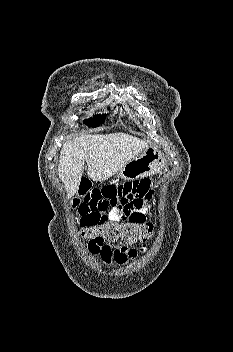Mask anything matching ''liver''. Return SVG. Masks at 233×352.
Wrapping results in <instances>:
<instances>
[{"label": "liver", "instance_id": "6515ba94", "mask_svg": "<svg viewBox=\"0 0 233 352\" xmlns=\"http://www.w3.org/2000/svg\"><path fill=\"white\" fill-rule=\"evenodd\" d=\"M149 148V144L126 133L80 135L64 143L58 165L67 197H73L80 185L87 163V174L93 181L108 180L129 161Z\"/></svg>", "mask_w": 233, "mask_h": 352}]
</instances>
